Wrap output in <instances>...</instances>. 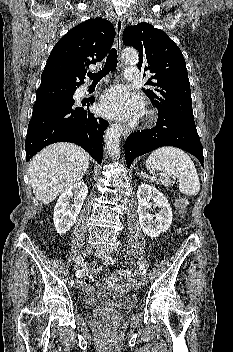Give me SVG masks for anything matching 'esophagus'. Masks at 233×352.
Wrapping results in <instances>:
<instances>
[{
  "mask_svg": "<svg viewBox=\"0 0 233 352\" xmlns=\"http://www.w3.org/2000/svg\"><path fill=\"white\" fill-rule=\"evenodd\" d=\"M123 26H124V19L119 18L115 26V29H116L115 47L117 51L121 50V37H122ZM123 130H124L123 132L124 137H127L131 132L130 128L127 126L126 127L124 126Z\"/></svg>",
  "mask_w": 233,
  "mask_h": 352,
  "instance_id": "obj_1",
  "label": "esophagus"
}]
</instances>
